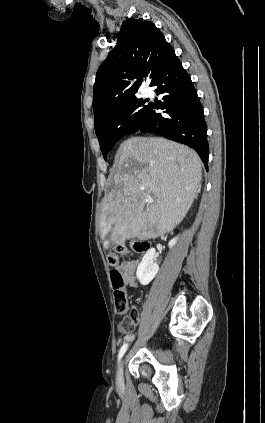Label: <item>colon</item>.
Segmentation results:
<instances>
[{"label":"colon","instance_id":"1","mask_svg":"<svg viewBox=\"0 0 265 423\" xmlns=\"http://www.w3.org/2000/svg\"><path fill=\"white\" fill-rule=\"evenodd\" d=\"M149 247V242L141 240H132L129 245L119 244L107 254V262L111 266H116L123 256L130 253V250L136 253H144ZM111 282L114 287L115 309L121 316L118 322V330L121 332L131 331L134 328L138 313L136 309L130 308L126 292L122 288L124 280L116 269L111 271Z\"/></svg>","mask_w":265,"mask_h":423}]
</instances>
